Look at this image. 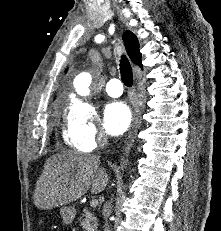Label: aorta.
Here are the masks:
<instances>
[{
	"label": "aorta",
	"instance_id": "obj_1",
	"mask_svg": "<svg viewBox=\"0 0 221 231\" xmlns=\"http://www.w3.org/2000/svg\"><path fill=\"white\" fill-rule=\"evenodd\" d=\"M91 75L89 73H82L74 80V87L78 94L86 96L89 94V85L91 83Z\"/></svg>",
	"mask_w": 221,
	"mask_h": 231
}]
</instances>
